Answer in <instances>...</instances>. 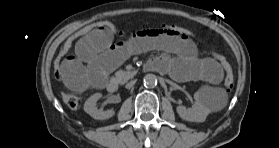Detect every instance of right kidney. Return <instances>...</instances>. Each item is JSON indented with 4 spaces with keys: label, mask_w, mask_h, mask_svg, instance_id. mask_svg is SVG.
<instances>
[{
    "label": "right kidney",
    "mask_w": 279,
    "mask_h": 148,
    "mask_svg": "<svg viewBox=\"0 0 279 148\" xmlns=\"http://www.w3.org/2000/svg\"><path fill=\"white\" fill-rule=\"evenodd\" d=\"M101 97H102L101 93H95L92 96H90L84 104V111L94 119L105 120L114 116L115 112L112 109L106 111L97 109L96 102Z\"/></svg>",
    "instance_id": "ca27d5eb"
}]
</instances>
